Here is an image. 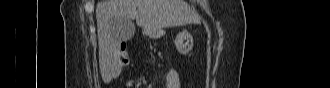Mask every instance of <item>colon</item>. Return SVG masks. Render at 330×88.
I'll return each mask as SVG.
<instances>
[{"label":"colon","instance_id":"colon-1","mask_svg":"<svg viewBox=\"0 0 330 88\" xmlns=\"http://www.w3.org/2000/svg\"><path fill=\"white\" fill-rule=\"evenodd\" d=\"M125 60H126V56L122 52V50H120L119 53L117 54L116 70H118L121 67H123V65L125 63Z\"/></svg>","mask_w":330,"mask_h":88}]
</instances>
